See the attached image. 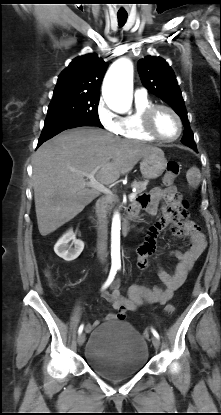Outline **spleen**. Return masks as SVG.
I'll return each mask as SVG.
<instances>
[{"label":"spleen","mask_w":221,"mask_h":415,"mask_svg":"<svg viewBox=\"0 0 221 415\" xmlns=\"http://www.w3.org/2000/svg\"><path fill=\"white\" fill-rule=\"evenodd\" d=\"M186 178L187 181L189 183V185L196 189L201 181V174L198 168L196 167H192L191 169L188 170L187 174H186Z\"/></svg>","instance_id":"obj_1"}]
</instances>
